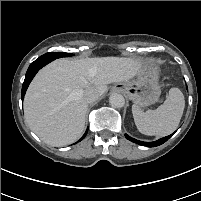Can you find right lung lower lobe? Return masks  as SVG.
Returning a JSON list of instances; mask_svg holds the SVG:
<instances>
[{"mask_svg":"<svg viewBox=\"0 0 201 201\" xmlns=\"http://www.w3.org/2000/svg\"><path fill=\"white\" fill-rule=\"evenodd\" d=\"M54 59H56L54 56H47L46 54H44L43 56L39 57L37 60H35L34 62L30 64L25 76L23 86H22V100L24 98V95L26 93V90L31 80L33 79L35 74L38 72V70L41 69L46 64H48L49 62L53 61ZM87 131L85 132V134L82 136V138L79 141H81L86 136Z\"/></svg>","mask_w":201,"mask_h":201,"instance_id":"right-lung-lower-lobe-1","label":"right lung lower lobe"}]
</instances>
